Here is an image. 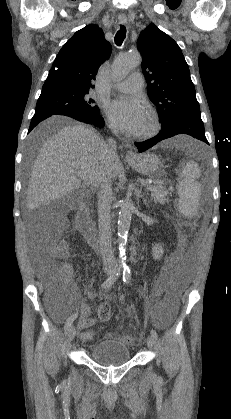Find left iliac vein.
I'll list each match as a JSON object with an SVG mask.
<instances>
[{"instance_id": "4c4485c4", "label": "left iliac vein", "mask_w": 231, "mask_h": 419, "mask_svg": "<svg viewBox=\"0 0 231 419\" xmlns=\"http://www.w3.org/2000/svg\"><path fill=\"white\" fill-rule=\"evenodd\" d=\"M116 270H114V272H115ZM154 344H155V340H154V338L150 335V336H148L147 337V346L150 348V349H153V347H154Z\"/></svg>"}]
</instances>
